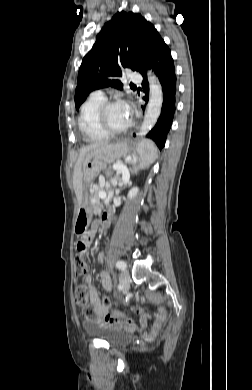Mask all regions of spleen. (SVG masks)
Returning <instances> with one entry per match:
<instances>
[{
  "mask_svg": "<svg viewBox=\"0 0 252 390\" xmlns=\"http://www.w3.org/2000/svg\"><path fill=\"white\" fill-rule=\"evenodd\" d=\"M137 152L140 157V164L137 167L134 165L135 172L149 166L157 158V150L150 140H143L138 145Z\"/></svg>",
  "mask_w": 252,
  "mask_h": 390,
  "instance_id": "obj_1",
  "label": "spleen"
}]
</instances>
